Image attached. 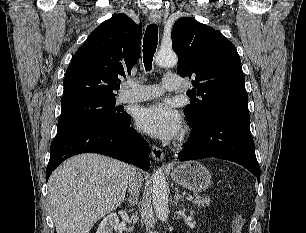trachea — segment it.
I'll use <instances>...</instances> for the list:
<instances>
[{"label": "trachea", "instance_id": "obj_1", "mask_svg": "<svg viewBox=\"0 0 306 233\" xmlns=\"http://www.w3.org/2000/svg\"><path fill=\"white\" fill-rule=\"evenodd\" d=\"M158 27L156 24H150L145 32L143 39V62L146 71L151 70L152 60L157 48Z\"/></svg>", "mask_w": 306, "mask_h": 233}]
</instances>
